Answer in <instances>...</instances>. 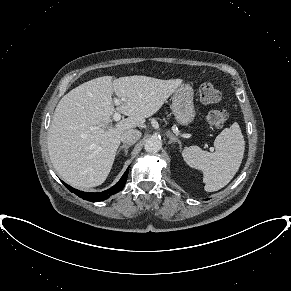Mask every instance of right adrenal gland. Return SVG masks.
Here are the masks:
<instances>
[{"label":"right adrenal gland","instance_id":"obj_1","mask_svg":"<svg viewBox=\"0 0 291 291\" xmlns=\"http://www.w3.org/2000/svg\"><path fill=\"white\" fill-rule=\"evenodd\" d=\"M130 146H132V144H123V145L120 146V148L118 149L117 154H119V152H120L122 149H124V151H125V155H127V153H128V148H129Z\"/></svg>","mask_w":291,"mask_h":291}]
</instances>
